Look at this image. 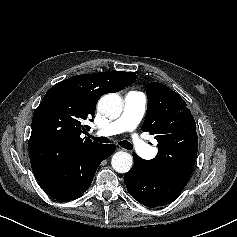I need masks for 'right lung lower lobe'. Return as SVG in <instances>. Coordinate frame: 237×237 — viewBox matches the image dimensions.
Listing matches in <instances>:
<instances>
[{"label": "right lung lower lobe", "mask_w": 237, "mask_h": 237, "mask_svg": "<svg viewBox=\"0 0 237 237\" xmlns=\"http://www.w3.org/2000/svg\"><path fill=\"white\" fill-rule=\"evenodd\" d=\"M114 144H98L79 153L60 175L38 180L41 188L51 197L68 201L80 198L89 188L101 161L112 155Z\"/></svg>", "instance_id": "98d812e1"}]
</instances>
